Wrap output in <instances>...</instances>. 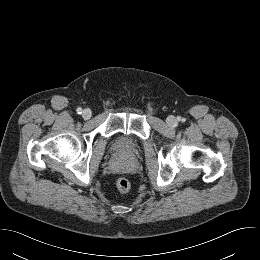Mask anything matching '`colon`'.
I'll return each instance as SVG.
<instances>
[{"instance_id": "obj_1", "label": "colon", "mask_w": 260, "mask_h": 260, "mask_svg": "<svg viewBox=\"0 0 260 260\" xmlns=\"http://www.w3.org/2000/svg\"><path fill=\"white\" fill-rule=\"evenodd\" d=\"M116 188L120 193H127L131 188L130 181L125 177H120L116 181Z\"/></svg>"}]
</instances>
